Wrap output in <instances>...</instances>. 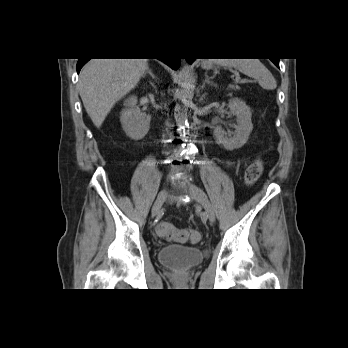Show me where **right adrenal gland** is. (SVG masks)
<instances>
[{"label":"right adrenal gland","mask_w":348,"mask_h":348,"mask_svg":"<svg viewBox=\"0 0 348 348\" xmlns=\"http://www.w3.org/2000/svg\"><path fill=\"white\" fill-rule=\"evenodd\" d=\"M145 74H149V75L152 77V79L157 80L156 77H155V75L153 74L152 70H151L149 67H147L146 73H145ZM153 87L155 88L154 85H153Z\"/></svg>","instance_id":"obj_1"}]
</instances>
